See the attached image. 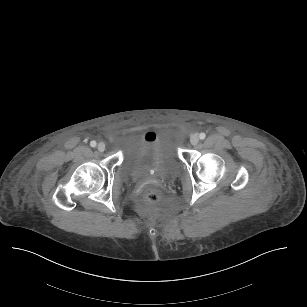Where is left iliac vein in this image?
<instances>
[{
  "label": "left iliac vein",
  "instance_id": "1",
  "mask_svg": "<svg viewBox=\"0 0 307 307\" xmlns=\"http://www.w3.org/2000/svg\"><path fill=\"white\" fill-rule=\"evenodd\" d=\"M190 142H191L192 145H197L198 142H199V137L196 136V135L191 136Z\"/></svg>",
  "mask_w": 307,
  "mask_h": 307
}]
</instances>
